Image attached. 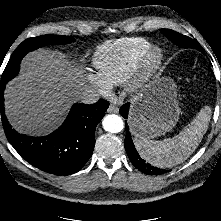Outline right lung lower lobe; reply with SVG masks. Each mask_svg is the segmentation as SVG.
Masks as SVG:
<instances>
[{
  "label": "right lung lower lobe",
  "mask_w": 221,
  "mask_h": 221,
  "mask_svg": "<svg viewBox=\"0 0 221 221\" xmlns=\"http://www.w3.org/2000/svg\"><path fill=\"white\" fill-rule=\"evenodd\" d=\"M5 85H0V112L7 139L14 149L31 165L50 174L78 172L92 155L96 126L104 117L108 101L74 104L56 131L45 137H29L11 129L6 121L3 107Z\"/></svg>",
  "instance_id": "1"
}]
</instances>
